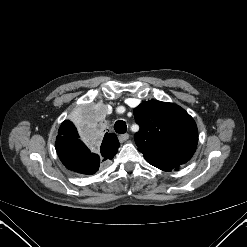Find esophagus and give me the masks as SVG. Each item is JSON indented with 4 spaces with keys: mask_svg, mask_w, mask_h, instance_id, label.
Here are the masks:
<instances>
[{
    "mask_svg": "<svg viewBox=\"0 0 247 247\" xmlns=\"http://www.w3.org/2000/svg\"><path fill=\"white\" fill-rule=\"evenodd\" d=\"M118 139L121 143L127 141L129 139V134H122L118 136Z\"/></svg>",
    "mask_w": 247,
    "mask_h": 247,
    "instance_id": "obj_1",
    "label": "esophagus"
}]
</instances>
